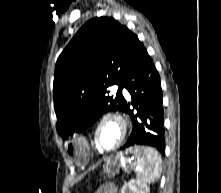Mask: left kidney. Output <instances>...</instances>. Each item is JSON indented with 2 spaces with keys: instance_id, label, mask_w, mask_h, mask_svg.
Instances as JSON below:
<instances>
[{
  "instance_id": "obj_1",
  "label": "left kidney",
  "mask_w": 221,
  "mask_h": 193,
  "mask_svg": "<svg viewBox=\"0 0 221 193\" xmlns=\"http://www.w3.org/2000/svg\"><path fill=\"white\" fill-rule=\"evenodd\" d=\"M149 190L150 189L145 182L132 179L124 184L121 193H149Z\"/></svg>"
}]
</instances>
